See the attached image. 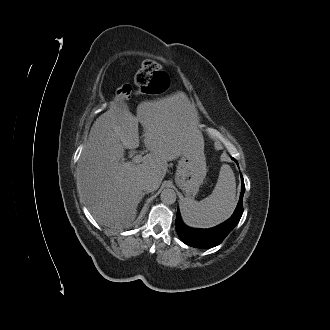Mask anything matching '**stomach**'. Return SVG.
<instances>
[{"instance_id":"stomach-1","label":"stomach","mask_w":330,"mask_h":330,"mask_svg":"<svg viewBox=\"0 0 330 330\" xmlns=\"http://www.w3.org/2000/svg\"><path fill=\"white\" fill-rule=\"evenodd\" d=\"M204 149H190L178 161L175 182L188 198L194 197L206 177Z\"/></svg>"}]
</instances>
